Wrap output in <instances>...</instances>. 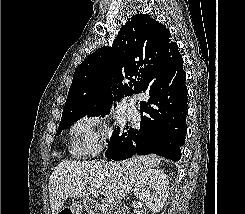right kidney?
I'll return each instance as SVG.
<instances>
[{
    "label": "right kidney",
    "instance_id": "obj_1",
    "mask_svg": "<svg viewBox=\"0 0 245 214\" xmlns=\"http://www.w3.org/2000/svg\"><path fill=\"white\" fill-rule=\"evenodd\" d=\"M169 193V181L162 170L151 169L137 180L134 194L153 212L162 210Z\"/></svg>",
    "mask_w": 245,
    "mask_h": 214
}]
</instances>
